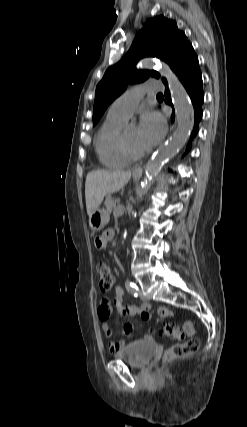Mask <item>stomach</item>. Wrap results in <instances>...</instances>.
<instances>
[{"mask_svg":"<svg viewBox=\"0 0 247 427\" xmlns=\"http://www.w3.org/2000/svg\"><path fill=\"white\" fill-rule=\"evenodd\" d=\"M109 221V213L104 209L98 208L89 216V225L93 231H100Z\"/></svg>","mask_w":247,"mask_h":427,"instance_id":"obj_1","label":"stomach"}]
</instances>
